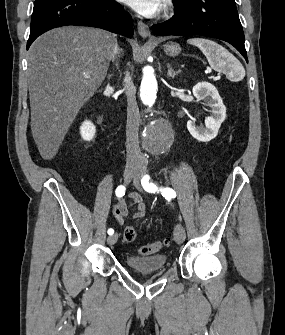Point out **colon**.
<instances>
[{
    "label": "colon",
    "instance_id": "1",
    "mask_svg": "<svg viewBox=\"0 0 285 335\" xmlns=\"http://www.w3.org/2000/svg\"><path fill=\"white\" fill-rule=\"evenodd\" d=\"M136 230L133 226H126L123 231V239L125 242H132L136 238ZM168 244L167 241H156L151 244H146L141 246L138 249L139 254L141 255H149L156 252H159L162 248H164Z\"/></svg>",
    "mask_w": 285,
    "mask_h": 335
}]
</instances>
